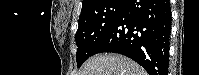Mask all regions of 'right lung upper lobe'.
Wrapping results in <instances>:
<instances>
[{"label":"right lung upper lobe","mask_w":199,"mask_h":75,"mask_svg":"<svg viewBox=\"0 0 199 75\" xmlns=\"http://www.w3.org/2000/svg\"><path fill=\"white\" fill-rule=\"evenodd\" d=\"M104 0H83L82 10L94 6Z\"/></svg>","instance_id":"obj_1"}]
</instances>
